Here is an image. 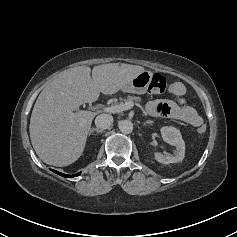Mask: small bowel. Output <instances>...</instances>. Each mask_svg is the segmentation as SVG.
Instances as JSON below:
<instances>
[{"label": "small bowel", "mask_w": 237, "mask_h": 237, "mask_svg": "<svg viewBox=\"0 0 237 237\" xmlns=\"http://www.w3.org/2000/svg\"><path fill=\"white\" fill-rule=\"evenodd\" d=\"M169 92L177 97L176 102L167 100L150 101L146 105L147 112L156 116H167L178 119L193 127H199L203 120L196 109L187 104L184 95L186 88L181 82H173Z\"/></svg>", "instance_id": "c3829d8e"}]
</instances>
